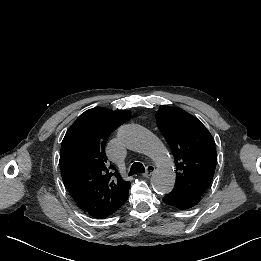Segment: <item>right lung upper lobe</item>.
<instances>
[{
    "label": "right lung upper lobe",
    "mask_w": 261,
    "mask_h": 261,
    "mask_svg": "<svg viewBox=\"0 0 261 261\" xmlns=\"http://www.w3.org/2000/svg\"><path fill=\"white\" fill-rule=\"evenodd\" d=\"M130 116L128 110H87L62 141L59 162L64 184L79 207L94 218L109 216L127 200L130 182L111 172L104 149L109 135Z\"/></svg>",
    "instance_id": "cb5924a9"
}]
</instances>
